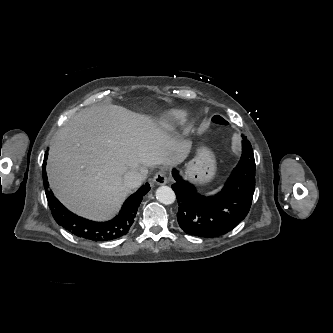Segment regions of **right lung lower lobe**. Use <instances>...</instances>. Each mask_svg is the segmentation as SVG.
I'll return each instance as SVG.
<instances>
[{
  "instance_id": "obj_1",
  "label": "right lung lower lobe",
  "mask_w": 333,
  "mask_h": 333,
  "mask_svg": "<svg viewBox=\"0 0 333 333\" xmlns=\"http://www.w3.org/2000/svg\"><path fill=\"white\" fill-rule=\"evenodd\" d=\"M48 153L45 154V160ZM46 162L43 163V183L46 189L48 205L55 221L68 232L93 241H109L126 235L134 222L137 209L143 196L150 190L148 183L143 185L136 193L132 194L123 204L119 214L107 222H95L79 217L67 210L48 190L49 184L46 174Z\"/></svg>"
}]
</instances>
